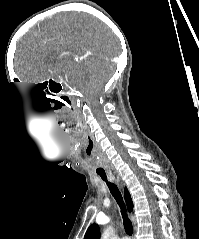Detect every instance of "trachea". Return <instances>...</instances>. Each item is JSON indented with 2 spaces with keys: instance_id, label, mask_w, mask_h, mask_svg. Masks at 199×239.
<instances>
[{
  "instance_id": "obj_1",
  "label": "trachea",
  "mask_w": 199,
  "mask_h": 239,
  "mask_svg": "<svg viewBox=\"0 0 199 239\" xmlns=\"http://www.w3.org/2000/svg\"><path fill=\"white\" fill-rule=\"evenodd\" d=\"M98 175L107 183L112 196L115 198L117 204L119 205V207L121 209V213L123 215V224H124L125 232L128 235H132L133 234V226H132V223L130 222V220L127 218V215H125V213H126L125 204L123 202V198H122V195H121L119 189L117 188V186L114 183L107 181V176L105 173H98Z\"/></svg>"
}]
</instances>
